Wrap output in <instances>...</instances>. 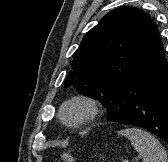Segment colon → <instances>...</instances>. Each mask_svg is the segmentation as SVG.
Masks as SVG:
<instances>
[{
	"mask_svg": "<svg viewBox=\"0 0 168 162\" xmlns=\"http://www.w3.org/2000/svg\"><path fill=\"white\" fill-rule=\"evenodd\" d=\"M60 159L62 160V162H73L74 161L73 156L68 153L61 154Z\"/></svg>",
	"mask_w": 168,
	"mask_h": 162,
	"instance_id": "1",
	"label": "colon"
}]
</instances>
